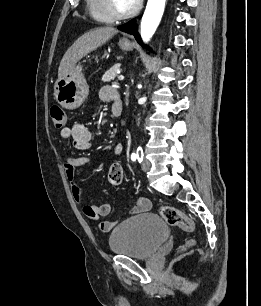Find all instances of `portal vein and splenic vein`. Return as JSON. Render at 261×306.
I'll return each mask as SVG.
<instances>
[{
	"instance_id": "obj_1",
	"label": "portal vein and splenic vein",
	"mask_w": 261,
	"mask_h": 306,
	"mask_svg": "<svg viewBox=\"0 0 261 306\" xmlns=\"http://www.w3.org/2000/svg\"><path fill=\"white\" fill-rule=\"evenodd\" d=\"M118 80H120V81L124 80V76L123 75H119L118 76Z\"/></svg>"
}]
</instances>
